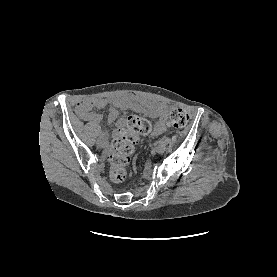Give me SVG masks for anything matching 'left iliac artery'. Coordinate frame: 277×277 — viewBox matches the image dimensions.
Returning <instances> with one entry per match:
<instances>
[{"instance_id":"left-iliac-artery-1","label":"left iliac artery","mask_w":277,"mask_h":277,"mask_svg":"<svg viewBox=\"0 0 277 277\" xmlns=\"http://www.w3.org/2000/svg\"><path fill=\"white\" fill-rule=\"evenodd\" d=\"M169 142H170V139H169V138H162V139L159 141L160 144H164V145H167Z\"/></svg>"}]
</instances>
